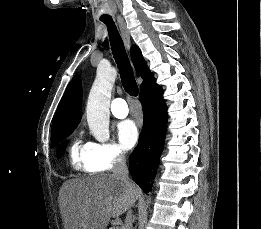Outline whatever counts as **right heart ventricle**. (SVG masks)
Wrapping results in <instances>:
<instances>
[{
    "label": "right heart ventricle",
    "mask_w": 261,
    "mask_h": 229,
    "mask_svg": "<svg viewBox=\"0 0 261 229\" xmlns=\"http://www.w3.org/2000/svg\"><path fill=\"white\" fill-rule=\"evenodd\" d=\"M91 150V143L81 144L79 141H74L70 148L72 166L79 170H91L89 164Z\"/></svg>",
    "instance_id": "1"
}]
</instances>
